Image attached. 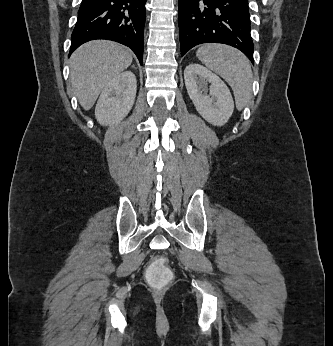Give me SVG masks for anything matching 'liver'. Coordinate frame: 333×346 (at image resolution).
Returning <instances> with one entry per match:
<instances>
[{
    "mask_svg": "<svg viewBox=\"0 0 333 346\" xmlns=\"http://www.w3.org/2000/svg\"><path fill=\"white\" fill-rule=\"evenodd\" d=\"M132 63L124 46L106 40L81 45L70 59V78L84 110H90L105 86Z\"/></svg>",
    "mask_w": 333,
    "mask_h": 346,
    "instance_id": "obj_1",
    "label": "liver"
}]
</instances>
